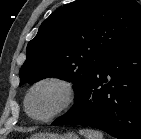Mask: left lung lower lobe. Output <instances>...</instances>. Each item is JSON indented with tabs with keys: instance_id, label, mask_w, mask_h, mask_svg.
<instances>
[{
	"instance_id": "1",
	"label": "left lung lower lobe",
	"mask_w": 141,
	"mask_h": 139,
	"mask_svg": "<svg viewBox=\"0 0 141 139\" xmlns=\"http://www.w3.org/2000/svg\"><path fill=\"white\" fill-rule=\"evenodd\" d=\"M66 124L141 139V28L105 56L72 108L52 123Z\"/></svg>"
}]
</instances>
